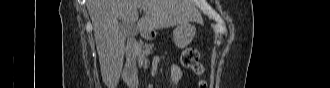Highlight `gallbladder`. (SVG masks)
Returning <instances> with one entry per match:
<instances>
[{"instance_id":"bac80fb5","label":"gallbladder","mask_w":330,"mask_h":88,"mask_svg":"<svg viewBox=\"0 0 330 88\" xmlns=\"http://www.w3.org/2000/svg\"><path fill=\"white\" fill-rule=\"evenodd\" d=\"M120 28L126 37H133L137 33L136 26L134 24L126 23V22H119Z\"/></svg>"}]
</instances>
